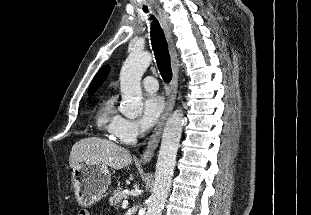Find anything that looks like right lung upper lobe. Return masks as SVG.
Returning a JSON list of instances; mask_svg holds the SVG:
<instances>
[{
  "label": "right lung upper lobe",
  "mask_w": 311,
  "mask_h": 215,
  "mask_svg": "<svg viewBox=\"0 0 311 215\" xmlns=\"http://www.w3.org/2000/svg\"><path fill=\"white\" fill-rule=\"evenodd\" d=\"M109 70H110L109 66L105 65L97 72L89 87L88 90L89 95H92L99 88L102 82L106 79Z\"/></svg>",
  "instance_id": "cb5924a9"
}]
</instances>
